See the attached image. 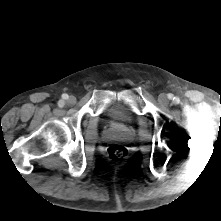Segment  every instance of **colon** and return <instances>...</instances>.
Masks as SVG:
<instances>
[{"instance_id": "colon-1", "label": "colon", "mask_w": 221, "mask_h": 221, "mask_svg": "<svg viewBox=\"0 0 221 221\" xmlns=\"http://www.w3.org/2000/svg\"><path fill=\"white\" fill-rule=\"evenodd\" d=\"M106 154L109 159L113 161H119L127 156L128 150L123 145L113 144L107 148Z\"/></svg>"}]
</instances>
